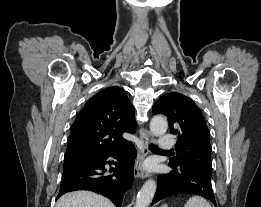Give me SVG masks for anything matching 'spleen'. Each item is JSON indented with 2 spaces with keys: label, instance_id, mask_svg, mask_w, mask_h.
Wrapping results in <instances>:
<instances>
[{
  "label": "spleen",
  "instance_id": "3e777b00",
  "mask_svg": "<svg viewBox=\"0 0 261 207\" xmlns=\"http://www.w3.org/2000/svg\"><path fill=\"white\" fill-rule=\"evenodd\" d=\"M184 207H211V205L200 196H192L186 202Z\"/></svg>",
  "mask_w": 261,
  "mask_h": 207
}]
</instances>
